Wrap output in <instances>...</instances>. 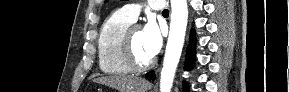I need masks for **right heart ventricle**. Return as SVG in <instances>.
I'll return each instance as SVG.
<instances>
[{
  "label": "right heart ventricle",
  "mask_w": 289,
  "mask_h": 92,
  "mask_svg": "<svg viewBox=\"0 0 289 92\" xmlns=\"http://www.w3.org/2000/svg\"><path fill=\"white\" fill-rule=\"evenodd\" d=\"M132 23L121 11L113 12L103 22L97 40L98 63L103 73L126 75L133 71L121 54L123 34Z\"/></svg>",
  "instance_id": "obj_1"
}]
</instances>
